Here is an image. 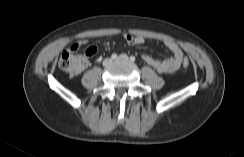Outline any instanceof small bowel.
Returning a JSON list of instances; mask_svg holds the SVG:
<instances>
[{"instance_id":"c3829d8e","label":"small bowel","mask_w":244,"mask_h":157,"mask_svg":"<svg viewBox=\"0 0 244 157\" xmlns=\"http://www.w3.org/2000/svg\"><path fill=\"white\" fill-rule=\"evenodd\" d=\"M125 40L129 45H140L144 43L143 37L131 34H126ZM85 42L86 40H81L78 44H83ZM163 45L172 53V56L170 58L164 60L154 59L147 54H143L142 58L158 73L171 74L176 72L180 68L183 59V52L177 45V43L171 39L163 40Z\"/></svg>"}]
</instances>
